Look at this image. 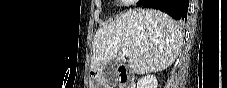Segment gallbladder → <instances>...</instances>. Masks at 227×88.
<instances>
[{
    "mask_svg": "<svg viewBox=\"0 0 227 88\" xmlns=\"http://www.w3.org/2000/svg\"><path fill=\"white\" fill-rule=\"evenodd\" d=\"M119 66L118 60H112L103 67V78L109 84L117 82L116 69Z\"/></svg>",
    "mask_w": 227,
    "mask_h": 88,
    "instance_id": "gallbladder-1",
    "label": "gallbladder"
}]
</instances>
